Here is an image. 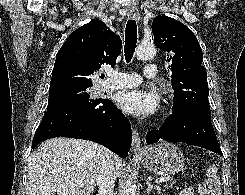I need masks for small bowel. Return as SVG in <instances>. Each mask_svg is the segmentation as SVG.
I'll list each match as a JSON object with an SVG mask.
<instances>
[{
	"mask_svg": "<svg viewBox=\"0 0 245 195\" xmlns=\"http://www.w3.org/2000/svg\"><path fill=\"white\" fill-rule=\"evenodd\" d=\"M179 195H195V190L191 187L184 188Z\"/></svg>",
	"mask_w": 245,
	"mask_h": 195,
	"instance_id": "c3829d8e",
	"label": "small bowel"
}]
</instances>
